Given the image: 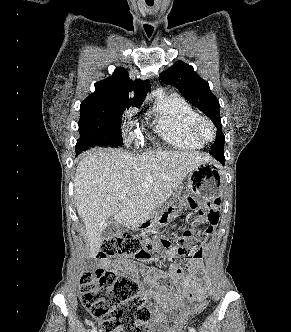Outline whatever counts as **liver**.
<instances>
[{"label": "liver", "mask_w": 291, "mask_h": 332, "mask_svg": "<svg viewBox=\"0 0 291 332\" xmlns=\"http://www.w3.org/2000/svg\"><path fill=\"white\" fill-rule=\"evenodd\" d=\"M210 160L207 153L197 151H148L136 157L122 149L84 152L76 169L74 199L85 224L89 257L100 251L110 217L126 227H138L193 169Z\"/></svg>", "instance_id": "obj_1"}]
</instances>
